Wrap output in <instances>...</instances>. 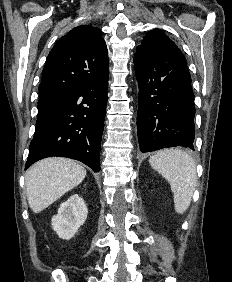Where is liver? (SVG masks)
Here are the masks:
<instances>
[{"label":"liver","instance_id":"liver-1","mask_svg":"<svg viewBox=\"0 0 232 282\" xmlns=\"http://www.w3.org/2000/svg\"><path fill=\"white\" fill-rule=\"evenodd\" d=\"M86 176L79 163L61 157L36 162L26 172V193L29 206L39 213L74 187Z\"/></svg>","mask_w":232,"mask_h":282}]
</instances>
